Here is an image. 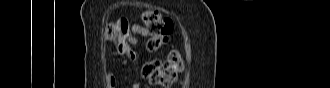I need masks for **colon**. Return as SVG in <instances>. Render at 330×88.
<instances>
[{"label": "colon", "instance_id": "1", "mask_svg": "<svg viewBox=\"0 0 330 88\" xmlns=\"http://www.w3.org/2000/svg\"><path fill=\"white\" fill-rule=\"evenodd\" d=\"M142 26L149 39L146 48L150 53L157 52L166 45L173 31V22L163 17L158 11L143 9ZM132 34L128 21L120 18L107 25L104 31L106 41L113 43L119 51L124 52L129 36ZM184 68V60L177 50L171 51L165 60L153 58L142 66V76L150 84L163 87L172 86Z\"/></svg>", "mask_w": 330, "mask_h": 88}]
</instances>
